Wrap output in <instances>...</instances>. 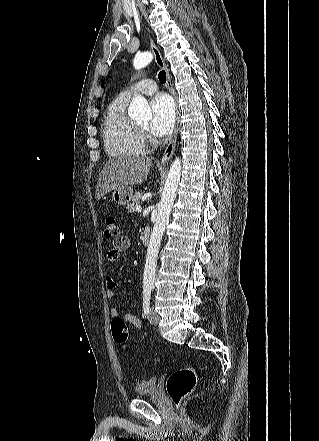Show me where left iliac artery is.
<instances>
[{"mask_svg": "<svg viewBox=\"0 0 319 441\" xmlns=\"http://www.w3.org/2000/svg\"><path fill=\"white\" fill-rule=\"evenodd\" d=\"M150 300H151V290L143 291V311L145 316L149 314L150 311Z\"/></svg>", "mask_w": 319, "mask_h": 441, "instance_id": "44dca946", "label": "left iliac artery"}]
</instances>
